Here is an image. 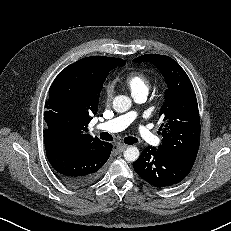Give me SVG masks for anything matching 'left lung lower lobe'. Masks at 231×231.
<instances>
[{
	"label": "left lung lower lobe",
	"instance_id": "obj_1",
	"mask_svg": "<svg viewBox=\"0 0 231 231\" xmlns=\"http://www.w3.org/2000/svg\"><path fill=\"white\" fill-rule=\"evenodd\" d=\"M193 165L194 161L175 158L153 147H147L133 163V168L149 184L161 188L182 181Z\"/></svg>",
	"mask_w": 231,
	"mask_h": 231
}]
</instances>
